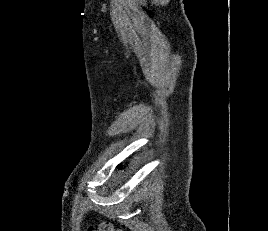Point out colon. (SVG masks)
Instances as JSON below:
<instances>
[{"mask_svg":"<svg viewBox=\"0 0 268 231\" xmlns=\"http://www.w3.org/2000/svg\"><path fill=\"white\" fill-rule=\"evenodd\" d=\"M88 231H120V230H115L112 223L109 221H101L97 225L89 226Z\"/></svg>","mask_w":268,"mask_h":231,"instance_id":"1","label":"colon"}]
</instances>
